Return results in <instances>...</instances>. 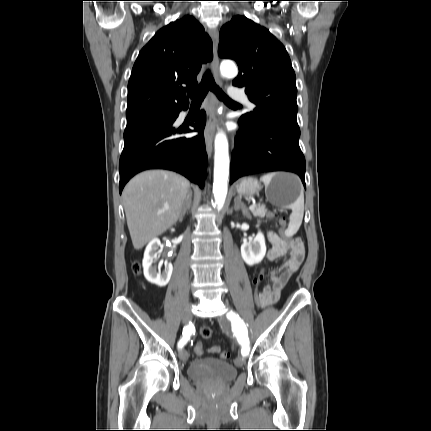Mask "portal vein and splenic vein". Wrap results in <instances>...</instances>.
<instances>
[{
	"instance_id": "18ae733b",
	"label": "portal vein and splenic vein",
	"mask_w": 431,
	"mask_h": 431,
	"mask_svg": "<svg viewBox=\"0 0 431 431\" xmlns=\"http://www.w3.org/2000/svg\"><path fill=\"white\" fill-rule=\"evenodd\" d=\"M256 206H257L256 204H252V205L249 207V209H250V210H253L254 208H256Z\"/></svg>"
}]
</instances>
